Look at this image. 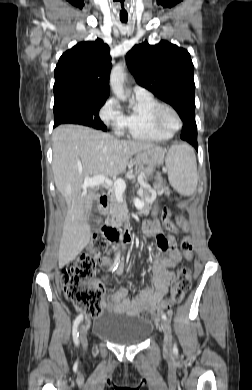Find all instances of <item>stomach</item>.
Returning a JSON list of instances; mask_svg holds the SVG:
<instances>
[{"mask_svg":"<svg viewBox=\"0 0 252 390\" xmlns=\"http://www.w3.org/2000/svg\"><path fill=\"white\" fill-rule=\"evenodd\" d=\"M164 155V151L156 149H149L137 153L135 160L139 172L145 174L148 177L152 176L156 168L163 164ZM156 215L157 210L154 207L152 216Z\"/></svg>","mask_w":252,"mask_h":390,"instance_id":"stomach-1","label":"stomach"}]
</instances>
